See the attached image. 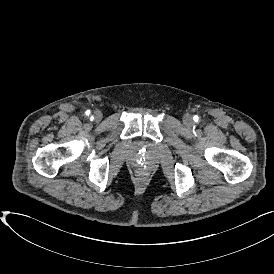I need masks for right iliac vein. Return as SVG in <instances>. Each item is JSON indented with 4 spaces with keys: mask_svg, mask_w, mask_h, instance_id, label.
<instances>
[{
    "mask_svg": "<svg viewBox=\"0 0 274 274\" xmlns=\"http://www.w3.org/2000/svg\"><path fill=\"white\" fill-rule=\"evenodd\" d=\"M102 117H103V115H102L101 111H99V110L94 111L93 118L96 122H99L102 119Z\"/></svg>",
    "mask_w": 274,
    "mask_h": 274,
    "instance_id": "63e3f726",
    "label": "right iliac vein"
}]
</instances>
